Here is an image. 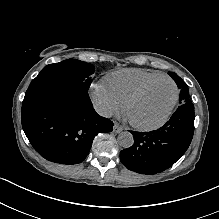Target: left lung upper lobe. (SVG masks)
Listing matches in <instances>:
<instances>
[{"label":"left lung upper lobe","mask_w":219,"mask_h":219,"mask_svg":"<svg viewBox=\"0 0 219 219\" xmlns=\"http://www.w3.org/2000/svg\"><path fill=\"white\" fill-rule=\"evenodd\" d=\"M169 75L174 79L178 88L180 89L179 103L187 104L192 103L189 96L187 84L174 72H169Z\"/></svg>","instance_id":"5c2ea615"}]
</instances>
